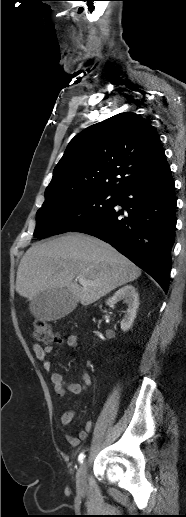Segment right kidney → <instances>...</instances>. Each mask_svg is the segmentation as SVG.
Returning <instances> with one entry per match:
<instances>
[{"label":"right kidney","instance_id":"right-kidney-1","mask_svg":"<svg viewBox=\"0 0 186 517\" xmlns=\"http://www.w3.org/2000/svg\"><path fill=\"white\" fill-rule=\"evenodd\" d=\"M121 300H123V302L128 306L127 310L125 311V316L121 321V329L123 331H128L133 325L134 319L136 317V310L139 306V297L135 287L132 285H126L120 288L112 297L106 301V304L114 305Z\"/></svg>","mask_w":186,"mask_h":517}]
</instances>
